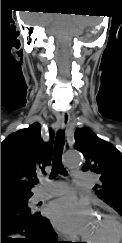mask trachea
I'll return each instance as SVG.
<instances>
[{"mask_svg":"<svg viewBox=\"0 0 122 243\" xmlns=\"http://www.w3.org/2000/svg\"><path fill=\"white\" fill-rule=\"evenodd\" d=\"M64 142H65L64 132L60 131L57 134L55 139L51 178L56 177L59 173L63 175H67L66 169L62 164V152H63ZM35 182H37V180H35Z\"/></svg>","mask_w":122,"mask_h":243,"instance_id":"3493384b","label":"trachea"}]
</instances>
